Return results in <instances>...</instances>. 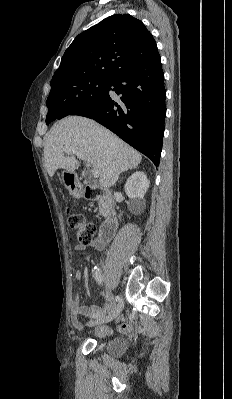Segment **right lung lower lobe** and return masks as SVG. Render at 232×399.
Masks as SVG:
<instances>
[{"instance_id": "right-lung-lower-lobe-1", "label": "right lung lower lobe", "mask_w": 232, "mask_h": 399, "mask_svg": "<svg viewBox=\"0 0 232 399\" xmlns=\"http://www.w3.org/2000/svg\"><path fill=\"white\" fill-rule=\"evenodd\" d=\"M117 95L116 99L109 91ZM164 73L158 50L110 78L107 93L96 104L63 113L91 118L117 134L158 166L166 116Z\"/></svg>"}]
</instances>
